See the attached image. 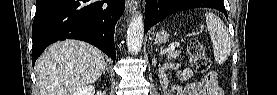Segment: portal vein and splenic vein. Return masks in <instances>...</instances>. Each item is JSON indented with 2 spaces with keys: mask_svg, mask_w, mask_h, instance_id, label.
Wrapping results in <instances>:
<instances>
[{
  "mask_svg": "<svg viewBox=\"0 0 277 95\" xmlns=\"http://www.w3.org/2000/svg\"><path fill=\"white\" fill-rule=\"evenodd\" d=\"M180 46L179 42H175L169 45L168 50H174L175 48H178Z\"/></svg>",
  "mask_w": 277,
  "mask_h": 95,
  "instance_id": "1",
  "label": "portal vein and splenic vein"
}]
</instances>
